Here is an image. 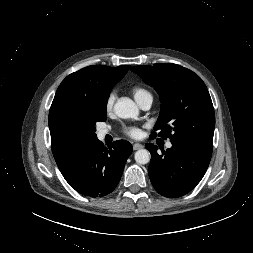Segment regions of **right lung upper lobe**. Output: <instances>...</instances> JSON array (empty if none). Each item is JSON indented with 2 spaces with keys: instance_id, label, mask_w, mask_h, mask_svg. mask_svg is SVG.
Masks as SVG:
<instances>
[{
  "instance_id": "cb5924a9",
  "label": "right lung upper lobe",
  "mask_w": 253,
  "mask_h": 253,
  "mask_svg": "<svg viewBox=\"0 0 253 253\" xmlns=\"http://www.w3.org/2000/svg\"><path fill=\"white\" fill-rule=\"evenodd\" d=\"M130 65H93L67 76L58 87L49 112L51 147L56 163L86 141L71 123L107 103L111 88L128 72Z\"/></svg>"
}]
</instances>
